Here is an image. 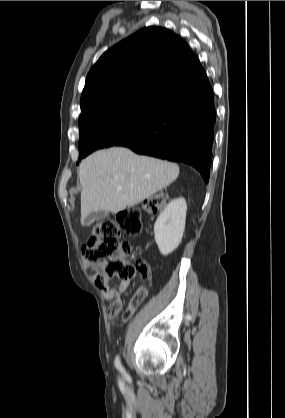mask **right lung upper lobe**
Masks as SVG:
<instances>
[{"label": "right lung upper lobe", "mask_w": 285, "mask_h": 418, "mask_svg": "<svg viewBox=\"0 0 285 418\" xmlns=\"http://www.w3.org/2000/svg\"><path fill=\"white\" fill-rule=\"evenodd\" d=\"M206 79L186 41L167 28L146 27L110 48L91 68L79 120L106 106L138 100L167 105Z\"/></svg>", "instance_id": "right-lung-upper-lobe-1"}]
</instances>
